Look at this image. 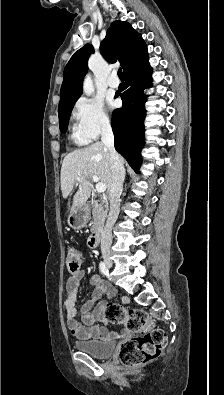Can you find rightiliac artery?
Segmentation results:
<instances>
[{"label": "right iliac artery", "mask_w": 224, "mask_h": 395, "mask_svg": "<svg viewBox=\"0 0 224 395\" xmlns=\"http://www.w3.org/2000/svg\"><path fill=\"white\" fill-rule=\"evenodd\" d=\"M99 269H100L102 274L108 275V269H107V266H106V264L104 262H100Z\"/></svg>", "instance_id": "right-iliac-artery-1"}]
</instances>
